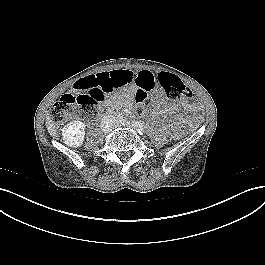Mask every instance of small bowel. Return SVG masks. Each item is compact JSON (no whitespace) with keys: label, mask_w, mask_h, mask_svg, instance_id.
I'll return each mask as SVG.
<instances>
[{"label":"small bowel","mask_w":265,"mask_h":265,"mask_svg":"<svg viewBox=\"0 0 265 265\" xmlns=\"http://www.w3.org/2000/svg\"><path fill=\"white\" fill-rule=\"evenodd\" d=\"M96 76L106 77L108 80L115 83L118 89L128 87L130 92H133L136 87L149 90H157L160 87V75L151 71H141L138 74H134L130 70L121 69L102 72ZM178 108H183L182 102L176 105L167 104L163 108L154 109L152 114L164 115Z\"/></svg>","instance_id":"c3829d8e"}]
</instances>
